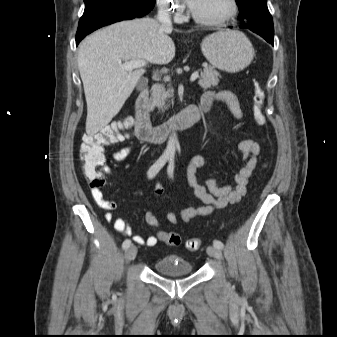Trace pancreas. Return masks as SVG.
<instances>
[{
    "label": "pancreas",
    "mask_w": 337,
    "mask_h": 337,
    "mask_svg": "<svg viewBox=\"0 0 337 337\" xmlns=\"http://www.w3.org/2000/svg\"><path fill=\"white\" fill-rule=\"evenodd\" d=\"M220 74L214 67L204 64V69L201 72V79L199 85L203 89L214 87L219 83ZM171 96V91H166L163 85H159L153 95V105L162 109L165 106V101Z\"/></svg>",
    "instance_id": "pancreas-1"
}]
</instances>
